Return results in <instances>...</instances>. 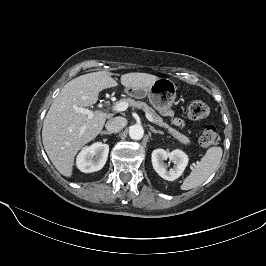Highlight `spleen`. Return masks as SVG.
<instances>
[{
	"instance_id": "obj_1",
	"label": "spleen",
	"mask_w": 266,
	"mask_h": 266,
	"mask_svg": "<svg viewBox=\"0 0 266 266\" xmlns=\"http://www.w3.org/2000/svg\"><path fill=\"white\" fill-rule=\"evenodd\" d=\"M221 147H211L200 161L196 163L191 173L185 178L180 189L190 190L204 183L219 167L222 158Z\"/></svg>"
}]
</instances>
